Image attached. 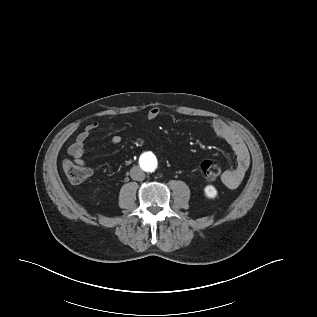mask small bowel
<instances>
[{
	"label": "small bowel",
	"mask_w": 317,
	"mask_h": 317,
	"mask_svg": "<svg viewBox=\"0 0 317 317\" xmlns=\"http://www.w3.org/2000/svg\"><path fill=\"white\" fill-rule=\"evenodd\" d=\"M161 114L159 107H152L148 112L150 120L157 119ZM210 127L217 137L228 143L235 155V168L226 171L222 176V182L230 189L239 186L243 180L245 173L250 164V157L247 148L241 137L232 129L226 122L219 118L210 120ZM99 128L97 122L91 123L77 136L75 141L68 147V154L73 157L74 161L79 164H84L83 155L86 151V142L90 135L96 132ZM121 142L119 135L110 137V143L117 145Z\"/></svg>",
	"instance_id": "small-bowel-1"
}]
</instances>
